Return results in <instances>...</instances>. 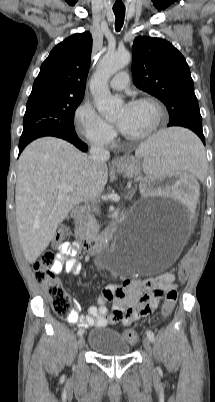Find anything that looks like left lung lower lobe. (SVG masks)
<instances>
[{"label": "left lung lower lobe", "instance_id": "obj_1", "mask_svg": "<svg viewBox=\"0 0 215 402\" xmlns=\"http://www.w3.org/2000/svg\"><path fill=\"white\" fill-rule=\"evenodd\" d=\"M195 133L201 138L202 142L205 143V138H204L203 133H201V132H195Z\"/></svg>", "mask_w": 215, "mask_h": 402}]
</instances>
